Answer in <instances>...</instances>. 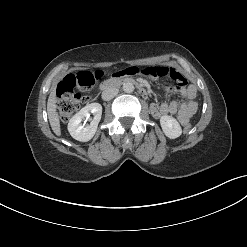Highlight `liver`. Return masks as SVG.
Segmentation results:
<instances>
[{"label": "liver", "mask_w": 247, "mask_h": 247, "mask_svg": "<svg viewBox=\"0 0 247 247\" xmlns=\"http://www.w3.org/2000/svg\"><path fill=\"white\" fill-rule=\"evenodd\" d=\"M56 102H57V98L55 94V87H52V90L50 92V95L48 97V102H47V113H48V119H49L53 132L57 136H60L61 128H60L59 116L56 111V108H57Z\"/></svg>", "instance_id": "obj_1"}]
</instances>
